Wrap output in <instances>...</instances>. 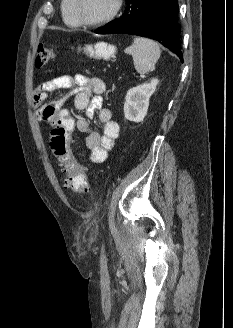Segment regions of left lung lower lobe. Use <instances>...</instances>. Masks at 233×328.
Returning a JSON list of instances; mask_svg holds the SVG:
<instances>
[{"mask_svg":"<svg viewBox=\"0 0 233 328\" xmlns=\"http://www.w3.org/2000/svg\"><path fill=\"white\" fill-rule=\"evenodd\" d=\"M178 0H126L122 17L96 30L97 34L125 33L157 40L181 61Z\"/></svg>","mask_w":233,"mask_h":328,"instance_id":"obj_1","label":"left lung lower lobe"}]
</instances>
